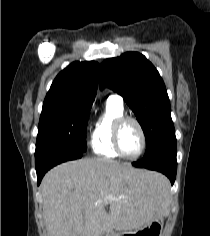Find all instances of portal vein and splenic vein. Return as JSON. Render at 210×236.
<instances>
[{
    "label": "portal vein and splenic vein",
    "instance_id": "portal-vein-and-splenic-vein-1",
    "mask_svg": "<svg viewBox=\"0 0 210 236\" xmlns=\"http://www.w3.org/2000/svg\"><path fill=\"white\" fill-rule=\"evenodd\" d=\"M108 198L113 199V197L109 196Z\"/></svg>",
    "mask_w": 210,
    "mask_h": 236
}]
</instances>
